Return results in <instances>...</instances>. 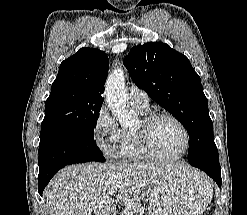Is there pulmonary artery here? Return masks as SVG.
<instances>
[{"label": "pulmonary artery", "mask_w": 247, "mask_h": 215, "mask_svg": "<svg viewBox=\"0 0 247 215\" xmlns=\"http://www.w3.org/2000/svg\"><path fill=\"white\" fill-rule=\"evenodd\" d=\"M129 99L132 106L143 110L148 109L149 97L145 91L137 86L129 87Z\"/></svg>", "instance_id": "obj_1"}]
</instances>
